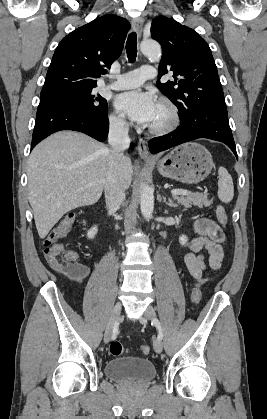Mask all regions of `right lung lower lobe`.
I'll return each instance as SVG.
<instances>
[{
  "mask_svg": "<svg viewBox=\"0 0 267 419\" xmlns=\"http://www.w3.org/2000/svg\"><path fill=\"white\" fill-rule=\"evenodd\" d=\"M61 130L79 131L98 141H105L109 131L107 111L101 115H90L67 102L41 97L31 149L50 134Z\"/></svg>",
  "mask_w": 267,
  "mask_h": 419,
  "instance_id": "obj_1",
  "label": "right lung lower lobe"
}]
</instances>
